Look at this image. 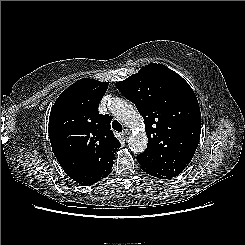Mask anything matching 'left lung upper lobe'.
I'll return each instance as SVG.
<instances>
[{
  "label": "left lung upper lobe",
  "mask_w": 245,
  "mask_h": 245,
  "mask_svg": "<svg viewBox=\"0 0 245 245\" xmlns=\"http://www.w3.org/2000/svg\"><path fill=\"white\" fill-rule=\"evenodd\" d=\"M116 87L144 118L148 145L137 156L142 170L164 178L190 163L201 134V113L190 85L173 70L151 63Z\"/></svg>",
  "instance_id": "obj_1"
}]
</instances>
